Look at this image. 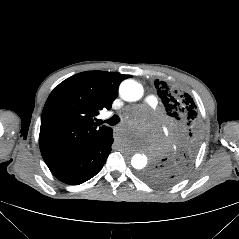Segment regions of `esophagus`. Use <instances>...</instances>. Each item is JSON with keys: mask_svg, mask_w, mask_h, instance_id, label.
Masks as SVG:
<instances>
[{"mask_svg": "<svg viewBox=\"0 0 239 239\" xmlns=\"http://www.w3.org/2000/svg\"><path fill=\"white\" fill-rule=\"evenodd\" d=\"M112 137H113L114 139H119V138L121 137V132H120L119 130H114V131L112 132Z\"/></svg>", "mask_w": 239, "mask_h": 239, "instance_id": "obj_1", "label": "esophagus"}]
</instances>
